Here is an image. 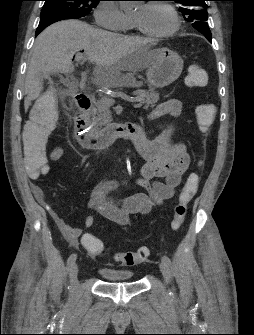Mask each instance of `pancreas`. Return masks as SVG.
Returning a JSON list of instances; mask_svg holds the SVG:
<instances>
[{
  "label": "pancreas",
  "instance_id": "obj_1",
  "mask_svg": "<svg viewBox=\"0 0 254 335\" xmlns=\"http://www.w3.org/2000/svg\"><path fill=\"white\" fill-rule=\"evenodd\" d=\"M133 94L135 95V100H140V103L144 104V109L146 110L153 108L160 98L159 93L154 90L145 91L138 89ZM93 121L96 129L112 121L109 106L105 105L102 100H99L93 109Z\"/></svg>",
  "mask_w": 254,
  "mask_h": 335
}]
</instances>
